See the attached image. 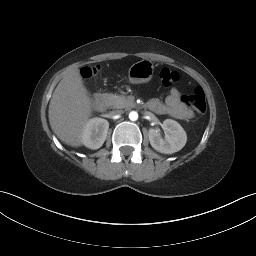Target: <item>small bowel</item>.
<instances>
[{"label":"small bowel","instance_id":"small-bowel-1","mask_svg":"<svg viewBox=\"0 0 256 256\" xmlns=\"http://www.w3.org/2000/svg\"><path fill=\"white\" fill-rule=\"evenodd\" d=\"M148 108L157 114L169 115L175 119L188 120L193 117V112L181 100L180 93L176 88L170 90L165 101L153 99L148 102Z\"/></svg>","mask_w":256,"mask_h":256}]
</instances>
